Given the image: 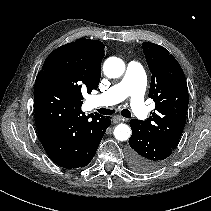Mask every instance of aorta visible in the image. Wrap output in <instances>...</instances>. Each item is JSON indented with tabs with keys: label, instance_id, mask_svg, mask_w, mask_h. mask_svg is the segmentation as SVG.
Wrapping results in <instances>:
<instances>
[{
	"label": "aorta",
	"instance_id": "1",
	"mask_svg": "<svg viewBox=\"0 0 211 211\" xmlns=\"http://www.w3.org/2000/svg\"><path fill=\"white\" fill-rule=\"evenodd\" d=\"M104 74L108 78H118L125 71V63L117 57H109L103 65ZM114 136L119 141H125L131 136V129L127 124H119L114 129Z\"/></svg>",
	"mask_w": 211,
	"mask_h": 211
}]
</instances>
